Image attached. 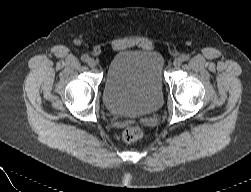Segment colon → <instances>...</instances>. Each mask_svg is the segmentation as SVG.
Returning <instances> with one entry per match:
<instances>
[{
	"label": "colon",
	"instance_id": "obj_1",
	"mask_svg": "<svg viewBox=\"0 0 251 192\" xmlns=\"http://www.w3.org/2000/svg\"><path fill=\"white\" fill-rule=\"evenodd\" d=\"M143 136L142 129L137 125H131L124 129L122 133L123 140L128 143L135 142Z\"/></svg>",
	"mask_w": 251,
	"mask_h": 192
}]
</instances>
